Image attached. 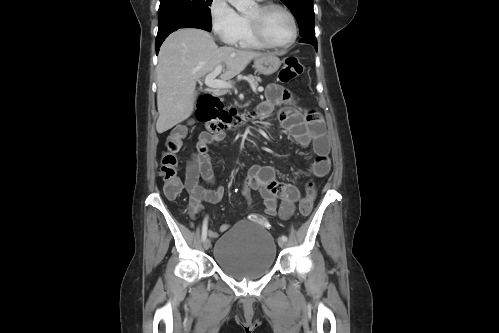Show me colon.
Instances as JSON below:
<instances>
[{
	"mask_svg": "<svg viewBox=\"0 0 499 333\" xmlns=\"http://www.w3.org/2000/svg\"><path fill=\"white\" fill-rule=\"evenodd\" d=\"M304 70L303 65L297 58L290 57L285 60L284 66L279 73L281 82H289L300 75ZM217 104V99H215ZM226 115V113H222ZM187 129L183 125L176 126L166 139L165 151L163 152L159 174L164 183V192L170 199H175L182 191L183 184L177 176V153L181 150L183 139ZM316 197V187L313 182L306 185V195L301 199L299 211L302 216H308L313 208ZM249 220L256 222L266 228H270L268 221L259 214L249 215Z\"/></svg>",
	"mask_w": 499,
	"mask_h": 333,
	"instance_id": "5ec220e1",
	"label": "colon"
}]
</instances>
